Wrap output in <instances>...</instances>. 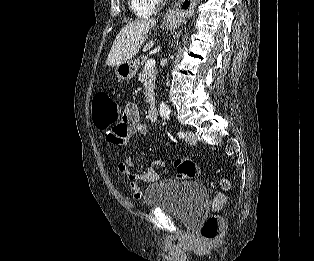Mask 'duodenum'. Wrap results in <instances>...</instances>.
Masks as SVG:
<instances>
[{
    "mask_svg": "<svg viewBox=\"0 0 314 261\" xmlns=\"http://www.w3.org/2000/svg\"><path fill=\"white\" fill-rule=\"evenodd\" d=\"M148 118L151 121L157 120V107L154 104L148 106Z\"/></svg>",
    "mask_w": 314,
    "mask_h": 261,
    "instance_id": "410a0bca",
    "label": "duodenum"
}]
</instances>
